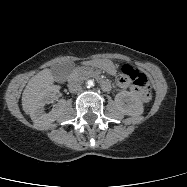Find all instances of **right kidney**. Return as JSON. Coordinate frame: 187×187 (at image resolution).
I'll return each instance as SVG.
<instances>
[{
    "label": "right kidney",
    "mask_w": 187,
    "mask_h": 187,
    "mask_svg": "<svg viewBox=\"0 0 187 187\" xmlns=\"http://www.w3.org/2000/svg\"><path fill=\"white\" fill-rule=\"evenodd\" d=\"M59 91L58 86H53L45 91L43 94L42 102L37 108L34 114V123L41 127H48L51 123H53L62 113L63 108H55L50 113H44V106L46 104H50L54 102L55 96Z\"/></svg>",
    "instance_id": "right-kidney-1"
}]
</instances>
